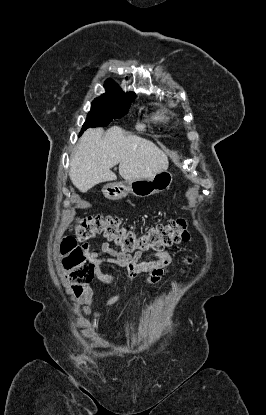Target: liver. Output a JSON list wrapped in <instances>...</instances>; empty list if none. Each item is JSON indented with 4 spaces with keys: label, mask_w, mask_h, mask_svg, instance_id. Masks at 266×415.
Masks as SVG:
<instances>
[{
    "label": "liver",
    "mask_w": 266,
    "mask_h": 415,
    "mask_svg": "<svg viewBox=\"0 0 266 415\" xmlns=\"http://www.w3.org/2000/svg\"><path fill=\"white\" fill-rule=\"evenodd\" d=\"M117 164L120 176L127 181L153 178L169 166L167 155L147 139L127 135L119 126L106 132L90 128L71 156L69 177L85 193L96 184L116 180L111 168Z\"/></svg>",
    "instance_id": "liver-1"
}]
</instances>
